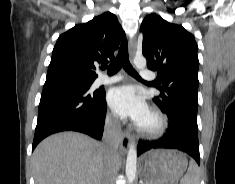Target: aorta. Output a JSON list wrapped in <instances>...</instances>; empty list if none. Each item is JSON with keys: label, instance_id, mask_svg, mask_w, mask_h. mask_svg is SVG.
Masks as SVG:
<instances>
[{"label": "aorta", "instance_id": "obj_1", "mask_svg": "<svg viewBox=\"0 0 235 184\" xmlns=\"http://www.w3.org/2000/svg\"><path fill=\"white\" fill-rule=\"evenodd\" d=\"M134 66L139 68V70H144L146 68V60L143 56H135L133 60ZM136 164H137V150L136 146L130 144L128 154H127V162H126V178L128 180V184H133L136 178Z\"/></svg>", "mask_w": 235, "mask_h": 184}]
</instances>
